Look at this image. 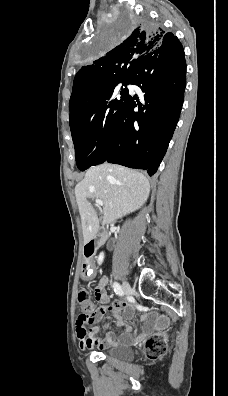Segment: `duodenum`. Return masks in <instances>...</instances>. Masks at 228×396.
Here are the masks:
<instances>
[{"label": "duodenum", "instance_id": "duodenum-1", "mask_svg": "<svg viewBox=\"0 0 228 396\" xmlns=\"http://www.w3.org/2000/svg\"><path fill=\"white\" fill-rule=\"evenodd\" d=\"M107 238L108 236L106 233H100L96 236L89 238L85 244L84 253L88 254L91 257L96 249L105 244Z\"/></svg>", "mask_w": 228, "mask_h": 396}]
</instances>
